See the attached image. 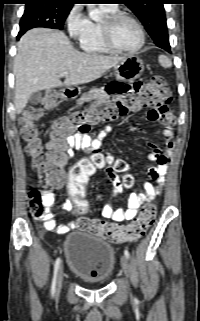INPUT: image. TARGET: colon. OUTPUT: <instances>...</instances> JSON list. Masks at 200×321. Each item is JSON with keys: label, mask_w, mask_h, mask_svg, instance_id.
Masks as SVG:
<instances>
[{"label": "colon", "mask_w": 200, "mask_h": 321, "mask_svg": "<svg viewBox=\"0 0 200 321\" xmlns=\"http://www.w3.org/2000/svg\"><path fill=\"white\" fill-rule=\"evenodd\" d=\"M144 83V90H136L134 98H125L115 105H104L97 109L89 107L76 111L67 117L59 118L54 122L50 132L49 152L44 153L39 132L35 122L40 119L45 110L56 106V95L48 93L42 100V107H29L19 121L21 138L25 149L31 158L32 167L39 179L40 188H31L28 194L29 209L35 218H42L47 213L43 201V194L49 191L54 183L65 178L64 164L67 152L65 137L74 129L79 133H87L99 121H109L119 115H125L130 110L142 107L165 108L171 101L172 94L166 81L160 76H153ZM172 124V120H171ZM105 159L99 155L80 160L68 174V186L65 198H70L71 207L77 216H85L89 208V201L85 196V184L89 176L104 166ZM117 171H125L127 166L123 160L114 162ZM126 186L132 184V178L126 176ZM156 206L152 203L144 205L138 217L127 225L109 223L101 219L82 217L77 224L80 229L87 230L114 243H126L141 238L154 222Z\"/></svg>", "instance_id": "1"}]
</instances>
